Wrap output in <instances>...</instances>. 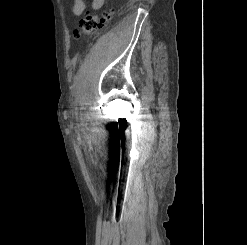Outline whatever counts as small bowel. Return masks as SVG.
Instances as JSON below:
<instances>
[{
  "mask_svg": "<svg viewBox=\"0 0 247 245\" xmlns=\"http://www.w3.org/2000/svg\"><path fill=\"white\" fill-rule=\"evenodd\" d=\"M105 0H91V7L93 10H99L104 5ZM86 4L84 0H73L72 13L75 16H80L84 13Z\"/></svg>",
  "mask_w": 247,
  "mask_h": 245,
  "instance_id": "obj_1",
  "label": "small bowel"
}]
</instances>
